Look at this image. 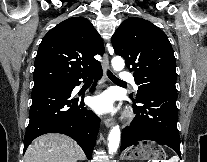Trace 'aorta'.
I'll use <instances>...</instances> for the list:
<instances>
[{
    "label": "aorta",
    "instance_id": "1",
    "mask_svg": "<svg viewBox=\"0 0 207 162\" xmlns=\"http://www.w3.org/2000/svg\"><path fill=\"white\" fill-rule=\"evenodd\" d=\"M111 63L115 71H121L125 66L124 60L120 56L114 57ZM120 136L121 132L119 126H114L108 135V150L110 154H113L117 151L119 147Z\"/></svg>",
    "mask_w": 207,
    "mask_h": 162
}]
</instances>
